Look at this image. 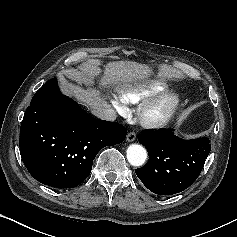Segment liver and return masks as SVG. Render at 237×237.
I'll return each mask as SVG.
<instances>
[{
  "label": "liver",
  "instance_id": "1",
  "mask_svg": "<svg viewBox=\"0 0 237 237\" xmlns=\"http://www.w3.org/2000/svg\"><path fill=\"white\" fill-rule=\"evenodd\" d=\"M91 70L96 71V66H92ZM150 72L149 67L143 64L130 61L111 62L105 66V76L101 84L106 85L114 80L130 82L134 79L140 80L148 76ZM61 84L68 95L91 109L107 106L97 89L91 87L84 89L80 85L73 84L65 78H61Z\"/></svg>",
  "mask_w": 237,
  "mask_h": 237
}]
</instances>
